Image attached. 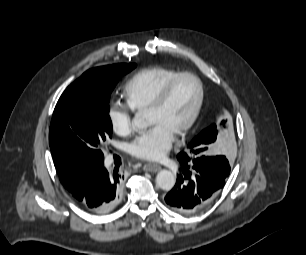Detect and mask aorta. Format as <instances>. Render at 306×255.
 <instances>
[{
	"mask_svg": "<svg viewBox=\"0 0 306 255\" xmlns=\"http://www.w3.org/2000/svg\"><path fill=\"white\" fill-rule=\"evenodd\" d=\"M132 125L135 128L143 129L147 127L148 123L142 113H136L132 120ZM175 181L174 174L169 170H161L156 176V184L163 190H171L175 185Z\"/></svg>",
	"mask_w": 306,
	"mask_h": 255,
	"instance_id": "obj_1",
	"label": "aorta"
}]
</instances>
